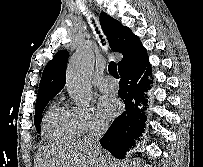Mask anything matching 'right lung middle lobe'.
<instances>
[{"label": "right lung middle lobe", "mask_w": 203, "mask_h": 167, "mask_svg": "<svg viewBox=\"0 0 203 167\" xmlns=\"http://www.w3.org/2000/svg\"><path fill=\"white\" fill-rule=\"evenodd\" d=\"M51 99L52 98L42 100L40 102H37L35 105L34 123H35V127L37 129V132L41 131L40 122L42 121V112Z\"/></svg>", "instance_id": "right-lung-middle-lobe-1"}]
</instances>
